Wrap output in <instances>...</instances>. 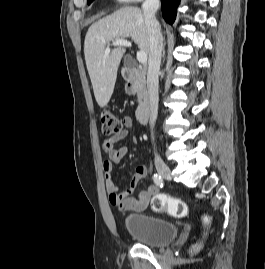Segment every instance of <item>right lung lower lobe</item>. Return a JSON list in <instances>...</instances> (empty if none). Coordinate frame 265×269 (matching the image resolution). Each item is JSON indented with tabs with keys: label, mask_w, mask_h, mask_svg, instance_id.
Here are the masks:
<instances>
[{
	"label": "right lung lower lobe",
	"mask_w": 265,
	"mask_h": 269,
	"mask_svg": "<svg viewBox=\"0 0 265 269\" xmlns=\"http://www.w3.org/2000/svg\"><path fill=\"white\" fill-rule=\"evenodd\" d=\"M162 2V14L165 21L172 24L176 18V10L180 3V0H161Z\"/></svg>",
	"instance_id": "98d812e1"
}]
</instances>
